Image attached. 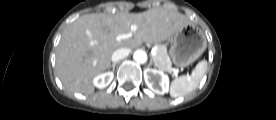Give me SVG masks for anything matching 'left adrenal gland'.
I'll return each instance as SVG.
<instances>
[{
	"mask_svg": "<svg viewBox=\"0 0 276 120\" xmlns=\"http://www.w3.org/2000/svg\"><path fill=\"white\" fill-rule=\"evenodd\" d=\"M153 65V57H151L150 59V63H149V66Z\"/></svg>",
	"mask_w": 276,
	"mask_h": 120,
	"instance_id": "left-adrenal-gland-1",
	"label": "left adrenal gland"
}]
</instances>
